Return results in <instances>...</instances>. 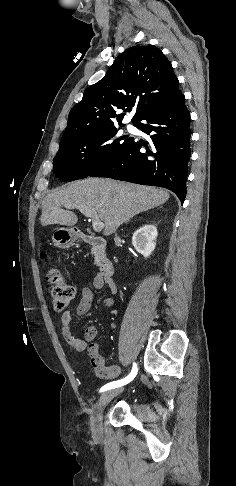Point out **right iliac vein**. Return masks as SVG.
<instances>
[{
	"label": "right iliac vein",
	"mask_w": 236,
	"mask_h": 486,
	"mask_svg": "<svg viewBox=\"0 0 236 486\" xmlns=\"http://www.w3.org/2000/svg\"><path fill=\"white\" fill-rule=\"evenodd\" d=\"M123 391V388L112 389L109 391L104 392L99 400L95 405V412L92 416L91 423H92V432L94 437L100 438L102 436L103 427H102V420H103V411L107 404L117 395H119Z\"/></svg>",
	"instance_id": "1"
}]
</instances>
